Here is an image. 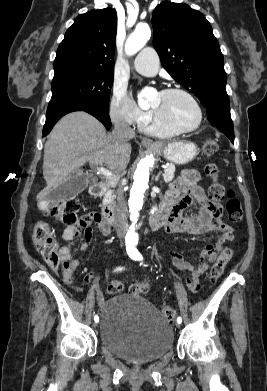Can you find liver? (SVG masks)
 Returning a JSON list of instances; mask_svg holds the SVG:
<instances>
[{
	"mask_svg": "<svg viewBox=\"0 0 267 391\" xmlns=\"http://www.w3.org/2000/svg\"><path fill=\"white\" fill-rule=\"evenodd\" d=\"M131 146L106 133L92 115L76 111L65 115L54 126L44 146L43 175L47 186L38 193L42 199L72 175L83 174L81 167L104 162L114 174L122 173L130 160Z\"/></svg>",
	"mask_w": 267,
	"mask_h": 391,
	"instance_id": "liver-1",
	"label": "liver"
}]
</instances>
